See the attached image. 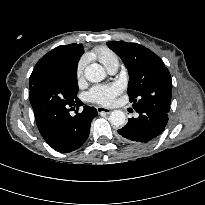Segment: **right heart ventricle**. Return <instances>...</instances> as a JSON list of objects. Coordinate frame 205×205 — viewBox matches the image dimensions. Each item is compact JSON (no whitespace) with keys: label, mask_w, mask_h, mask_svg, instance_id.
<instances>
[{"label":"right heart ventricle","mask_w":205,"mask_h":205,"mask_svg":"<svg viewBox=\"0 0 205 205\" xmlns=\"http://www.w3.org/2000/svg\"><path fill=\"white\" fill-rule=\"evenodd\" d=\"M92 56L98 59L107 69L119 64L118 56L109 48L100 46L92 51Z\"/></svg>","instance_id":"obj_1"}]
</instances>
